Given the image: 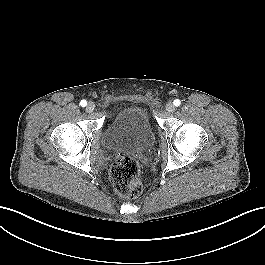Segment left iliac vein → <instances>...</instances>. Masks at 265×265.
<instances>
[{
  "instance_id": "left-iliac-vein-1",
  "label": "left iliac vein",
  "mask_w": 265,
  "mask_h": 265,
  "mask_svg": "<svg viewBox=\"0 0 265 265\" xmlns=\"http://www.w3.org/2000/svg\"><path fill=\"white\" fill-rule=\"evenodd\" d=\"M166 110H167L168 112H173V111L175 110V106H174V104L171 103V102L167 103V104H166Z\"/></svg>"
}]
</instances>
